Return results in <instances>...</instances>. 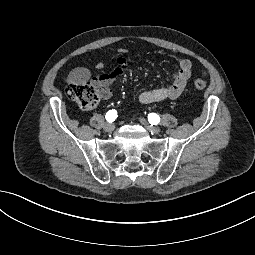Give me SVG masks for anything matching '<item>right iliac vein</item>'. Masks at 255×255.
I'll return each instance as SVG.
<instances>
[{
    "mask_svg": "<svg viewBox=\"0 0 255 255\" xmlns=\"http://www.w3.org/2000/svg\"><path fill=\"white\" fill-rule=\"evenodd\" d=\"M114 129H115L114 123H107V124H105V126H104V130H105L106 132H112V131H114Z\"/></svg>",
    "mask_w": 255,
    "mask_h": 255,
    "instance_id": "1",
    "label": "right iliac vein"
}]
</instances>
